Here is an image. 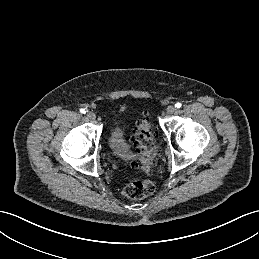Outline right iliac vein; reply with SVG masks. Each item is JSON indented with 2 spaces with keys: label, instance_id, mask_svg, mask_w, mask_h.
<instances>
[{
  "label": "right iliac vein",
  "instance_id": "obj_1",
  "mask_svg": "<svg viewBox=\"0 0 259 259\" xmlns=\"http://www.w3.org/2000/svg\"><path fill=\"white\" fill-rule=\"evenodd\" d=\"M87 117L90 119V120H94L96 118L95 114L93 112H88L87 113Z\"/></svg>",
  "mask_w": 259,
  "mask_h": 259
}]
</instances>
